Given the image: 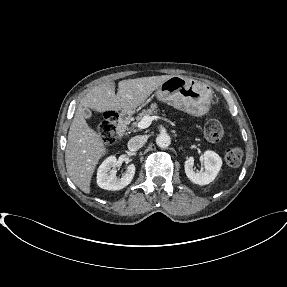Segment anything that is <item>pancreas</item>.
Wrapping results in <instances>:
<instances>
[{"label": "pancreas", "instance_id": "pancreas-1", "mask_svg": "<svg viewBox=\"0 0 287 287\" xmlns=\"http://www.w3.org/2000/svg\"><path fill=\"white\" fill-rule=\"evenodd\" d=\"M158 111L157 109V105L156 104H151L150 108L143 110L141 113L138 114V116L136 117V121L133 122L132 124V129H139L138 128V123L139 121L146 115L151 116L153 114H156Z\"/></svg>", "mask_w": 287, "mask_h": 287}]
</instances>
